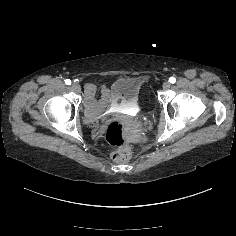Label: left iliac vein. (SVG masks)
<instances>
[{
	"label": "left iliac vein",
	"instance_id": "obj_1",
	"mask_svg": "<svg viewBox=\"0 0 236 236\" xmlns=\"http://www.w3.org/2000/svg\"><path fill=\"white\" fill-rule=\"evenodd\" d=\"M164 90H168L171 87V83L168 81H165L162 85Z\"/></svg>",
	"mask_w": 236,
	"mask_h": 236
}]
</instances>
